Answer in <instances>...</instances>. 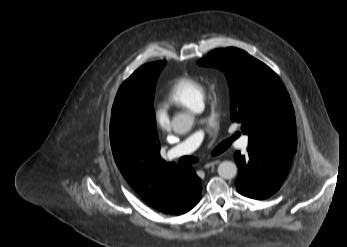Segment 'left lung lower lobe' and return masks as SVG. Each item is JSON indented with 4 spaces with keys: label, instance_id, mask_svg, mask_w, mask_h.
Instances as JSON below:
<instances>
[{
    "label": "left lung lower lobe",
    "instance_id": "0a47b994",
    "mask_svg": "<svg viewBox=\"0 0 347 247\" xmlns=\"http://www.w3.org/2000/svg\"><path fill=\"white\" fill-rule=\"evenodd\" d=\"M248 154H234L239 168L235 181L239 193L253 199H265L283 184L294 153L276 148H247Z\"/></svg>",
    "mask_w": 347,
    "mask_h": 247
}]
</instances>
